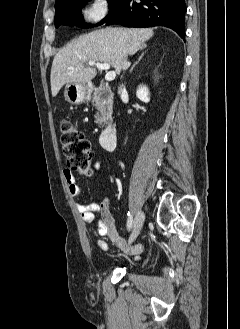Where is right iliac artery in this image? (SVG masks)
I'll list each match as a JSON object with an SVG mask.
<instances>
[{
    "instance_id": "82829eb1",
    "label": "right iliac artery",
    "mask_w": 240,
    "mask_h": 329,
    "mask_svg": "<svg viewBox=\"0 0 240 329\" xmlns=\"http://www.w3.org/2000/svg\"><path fill=\"white\" fill-rule=\"evenodd\" d=\"M133 225V217L132 214H130V212L128 213V220H127V229L130 230L132 228Z\"/></svg>"
}]
</instances>
